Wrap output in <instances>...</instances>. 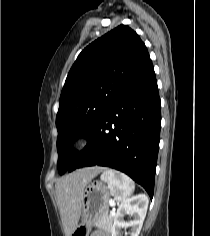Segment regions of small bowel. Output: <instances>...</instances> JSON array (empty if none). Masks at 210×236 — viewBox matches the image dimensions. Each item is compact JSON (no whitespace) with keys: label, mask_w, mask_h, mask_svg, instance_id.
Returning <instances> with one entry per match:
<instances>
[{"label":"small bowel","mask_w":210,"mask_h":236,"mask_svg":"<svg viewBox=\"0 0 210 236\" xmlns=\"http://www.w3.org/2000/svg\"><path fill=\"white\" fill-rule=\"evenodd\" d=\"M92 236H107V235L103 232H95Z\"/></svg>","instance_id":"c3829d8e"}]
</instances>
